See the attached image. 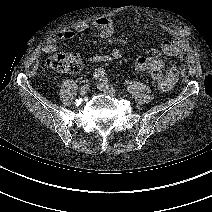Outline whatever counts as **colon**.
I'll return each instance as SVG.
<instances>
[{"mask_svg":"<svg viewBox=\"0 0 212 212\" xmlns=\"http://www.w3.org/2000/svg\"><path fill=\"white\" fill-rule=\"evenodd\" d=\"M47 66L59 73L77 74L82 69V59L78 53H58L47 60ZM149 75L159 83H162L165 79L161 67L151 68Z\"/></svg>","mask_w":212,"mask_h":212,"instance_id":"1","label":"colon"}]
</instances>
